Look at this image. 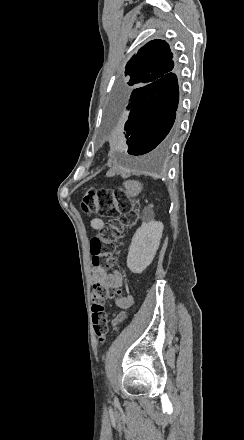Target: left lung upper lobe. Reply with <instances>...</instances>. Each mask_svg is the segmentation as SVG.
<instances>
[{"label": "left lung upper lobe", "mask_w": 244, "mask_h": 440, "mask_svg": "<svg viewBox=\"0 0 244 440\" xmlns=\"http://www.w3.org/2000/svg\"><path fill=\"white\" fill-rule=\"evenodd\" d=\"M173 54L163 40H152L145 44L128 61L125 76L129 86L150 84L174 68Z\"/></svg>", "instance_id": "left-lung-upper-lobe-1"}]
</instances>
